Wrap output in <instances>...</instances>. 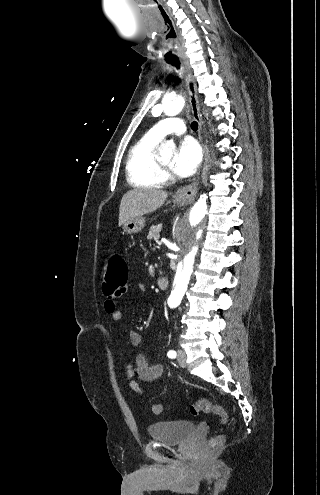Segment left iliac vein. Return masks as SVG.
<instances>
[{
  "instance_id": "1",
  "label": "left iliac vein",
  "mask_w": 320,
  "mask_h": 495,
  "mask_svg": "<svg viewBox=\"0 0 320 495\" xmlns=\"http://www.w3.org/2000/svg\"><path fill=\"white\" fill-rule=\"evenodd\" d=\"M177 362L178 364L182 367V368H185L186 367V353L185 351L181 350V349H178L177 351Z\"/></svg>"
}]
</instances>
